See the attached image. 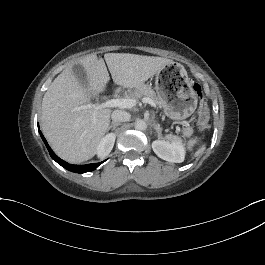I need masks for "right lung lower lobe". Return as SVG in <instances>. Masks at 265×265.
<instances>
[{
    "label": "right lung lower lobe",
    "instance_id": "obj_1",
    "mask_svg": "<svg viewBox=\"0 0 265 265\" xmlns=\"http://www.w3.org/2000/svg\"><path fill=\"white\" fill-rule=\"evenodd\" d=\"M40 135L50 153V156L58 163L60 164L62 167L66 168L69 171L72 172H76V173H85V172H90L95 170L101 163H93V164H88V165H71L66 163L65 161L61 160L60 158H58L54 152L51 150V148L49 147L47 141L45 140L44 136L42 135V133L40 132Z\"/></svg>",
    "mask_w": 265,
    "mask_h": 265
}]
</instances>
